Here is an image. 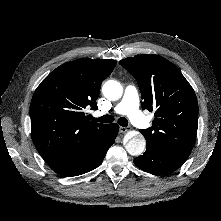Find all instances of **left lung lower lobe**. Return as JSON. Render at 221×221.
Masks as SVG:
<instances>
[{"label":"left lung lower lobe","mask_w":221,"mask_h":221,"mask_svg":"<svg viewBox=\"0 0 221 221\" xmlns=\"http://www.w3.org/2000/svg\"><path fill=\"white\" fill-rule=\"evenodd\" d=\"M146 152L135 158V165L149 173L167 174L177 170L186 161L187 157L159 150L154 147H146Z\"/></svg>","instance_id":"left-lung-lower-lobe-1"}]
</instances>
